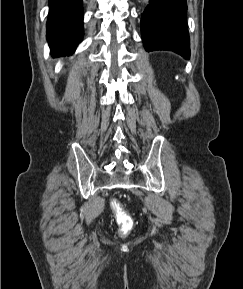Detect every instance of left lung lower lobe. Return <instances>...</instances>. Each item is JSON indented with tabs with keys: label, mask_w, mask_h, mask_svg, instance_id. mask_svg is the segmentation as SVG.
<instances>
[{
	"label": "left lung lower lobe",
	"mask_w": 243,
	"mask_h": 289,
	"mask_svg": "<svg viewBox=\"0 0 243 289\" xmlns=\"http://www.w3.org/2000/svg\"><path fill=\"white\" fill-rule=\"evenodd\" d=\"M186 0H150L142 14L141 33L147 51L170 50L190 57Z\"/></svg>",
	"instance_id": "obj_1"
}]
</instances>
